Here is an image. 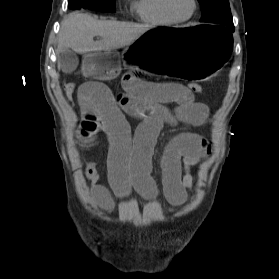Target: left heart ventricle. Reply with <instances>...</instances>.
<instances>
[{
  "label": "left heart ventricle",
  "instance_id": "1",
  "mask_svg": "<svg viewBox=\"0 0 279 279\" xmlns=\"http://www.w3.org/2000/svg\"><path fill=\"white\" fill-rule=\"evenodd\" d=\"M168 7L176 17L188 16L193 8L192 0H168Z\"/></svg>",
  "mask_w": 279,
  "mask_h": 279
}]
</instances>
